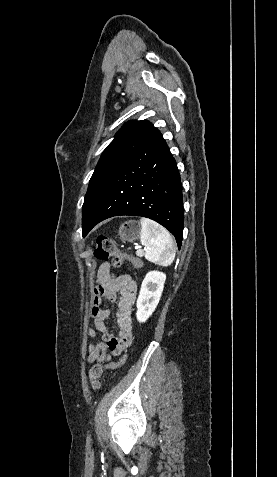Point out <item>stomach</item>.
I'll return each mask as SVG.
<instances>
[{"label": "stomach", "mask_w": 277, "mask_h": 477, "mask_svg": "<svg viewBox=\"0 0 277 477\" xmlns=\"http://www.w3.org/2000/svg\"><path fill=\"white\" fill-rule=\"evenodd\" d=\"M123 242H134L140 237V226L134 220L123 223L118 231Z\"/></svg>", "instance_id": "stomach-1"}]
</instances>
